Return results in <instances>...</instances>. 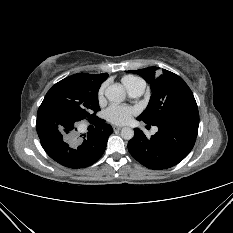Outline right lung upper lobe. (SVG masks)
I'll list each match as a JSON object with an SVG mask.
<instances>
[{"instance_id": "1", "label": "right lung upper lobe", "mask_w": 233, "mask_h": 233, "mask_svg": "<svg viewBox=\"0 0 233 233\" xmlns=\"http://www.w3.org/2000/svg\"><path fill=\"white\" fill-rule=\"evenodd\" d=\"M84 74L86 77L94 81L96 84L101 85L103 81H105L108 77L107 73L104 74H87V73H81Z\"/></svg>"}]
</instances>
